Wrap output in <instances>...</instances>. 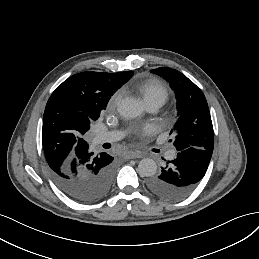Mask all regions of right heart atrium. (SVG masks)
<instances>
[{
    "label": "right heart atrium",
    "mask_w": 259,
    "mask_h": 259,
    "mask_svg": "<svg viewBox=\"0 0 259 259\" xmlns=\"http://www.w3.org/2000/svg\"><path fill=\"white\" fill-rule=\"evenodd\" d=\"M121 99V94L120 92H115L111 98V102L114 106L118 105Z\"/></svg>",
    "instance_id": "right-heart-atrium-1"
}]
</instances>
